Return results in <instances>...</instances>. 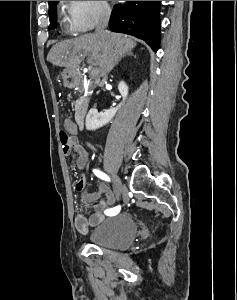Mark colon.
I'll return each mask as SVG.
<instances>
[{"label":"colon","instance_id":"1","mask_svg":"<svg viewBox=\"0 0 237 300\" xmlns=\"http://www.w3.org/2000/svg\"><path fill=\"white\" fill-rule=\"evenodd\" d=\"M60 137H61V142H62V145H63V149L65 151L73 150L78 145L77 141L74 138L70 137L64 131L61 132Z\"/></svg>","mask_w":237,"mask_h":300}]
</instances>
